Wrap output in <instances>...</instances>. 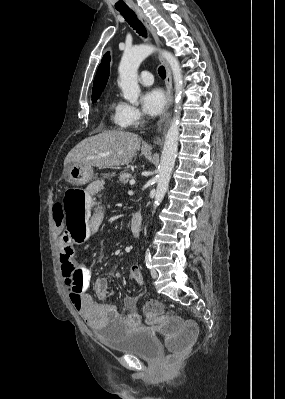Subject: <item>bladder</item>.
Listing matches in <instances>:
<instances>
[{"instance_id":"31cf9c89","label":"bladder","mask_w":285,"mask_h":399,"mask_svg":"<svg viewBox=\"0 0 285 399\" xmlns=\"http://www.w3.org/2000/svg\"><path fill=\"white\" fill-rule=\"evenodd\" d=\"M98 330V328L95 327ZM104 343L114 352L134 355L154 360L160 355V345L156 338L145 328L135 327L125 331L124 335L101 332Z\"/></svg>"}]
</instances>
